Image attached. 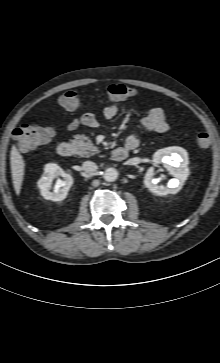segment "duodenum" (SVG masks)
Instances as JSON below:
<instances>
[{"label": "duodenum", "mask_w": 220, "mask_h": 363, "mask_svg": "<svg viewBox=\"0 0 220 363\" xmlns=\"http://www.w3.org/2000/svg\"><path fill=\"white\" fill-rule=\"evenodd\" d=\"M57 153L62 157H69L74 153V145L70 142L64 141L58 144ZM128 155V149L126 148H115L112 151V159L116 162L123 161Z\"/></svg>", "instance_id": "1"}]
</instances>
